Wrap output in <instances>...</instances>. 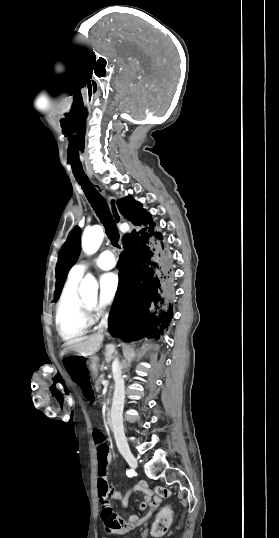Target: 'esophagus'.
I'll list each match as a JSON object with an SVG mask.
<instances>
[{"instance_id": "esophagus-1", "label": "esophagus", "mask_w": 279, "mask_h": 538, "mask_svg": "<svg viewBox=\"0 0 279 538\" xmlns=\"http://www.w3.org/2000/svg\"><path fill=\"white\" fill-rule=\"evenodd\" d=\"M108 204H109V208H110V211L112 213L114 222L116 223L117 226H119L123 221V217H122L121 213L118 210L116 198L115 197H108Z\"/></svg>"}]
</instances>
